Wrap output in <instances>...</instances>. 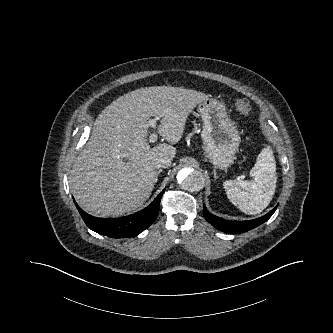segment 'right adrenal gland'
<instances>
[{
    "label": "right adrenal gland",
    "mask_w": 333,
    "mask_h": 333,
    "mask_svg": "<svg viewBox=\"0 0 333 333\" xmlns=\"http://www.w3.org/2000/svg\"><path fill=\"white\" fill-rule=\"evenodd\" d=\"M161 170L157 171V177H156V180H155V183L157 182L158 180V175L160 174Z\"/></svg>",
    "instance_id": "1"
}]
</instances>
